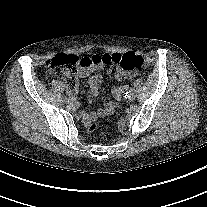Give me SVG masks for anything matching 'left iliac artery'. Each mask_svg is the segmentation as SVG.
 I'll return each instance as SVG.
<instances>
[{"mask_svg":"<svg viewBox=\"0 0 207 207\" xmlns=\"http://www.w3.org/2000/svg\"><path fill=\"white\" fill-rule=\"evenodd\" d=\"M128 94H129L130 96H133V95L135 94V91H134L133 89H130V90L128 91Z\"/></svg>","mask_w":207,"mask_h":207,"instance_id":"1","label":"left iliac artery"}]
</instances>
